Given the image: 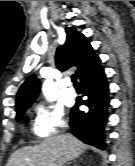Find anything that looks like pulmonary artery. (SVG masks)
Masks as SVG:
<instances>
[{
    "mask_svg": "<svg viewBox=\"0 0 135 166\" xmlns=\"http://www.w3.org/2000/svg\"><path fill=\"white\" fill-rule=\"evenodd\" d=\"M67 96L70 98H74L76 96V91L74 88L69 87L67 90Z\"/></svg>",
    "mask_w": 135,
    "mask_h": 166,
    "instance_id": "e3ab8cb5",
    "label": "pulmonary artery"
}]
</instances>
